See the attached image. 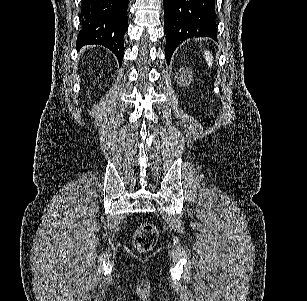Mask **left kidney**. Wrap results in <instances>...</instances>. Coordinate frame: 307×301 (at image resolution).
I'll use <instances>...</instances> for the list:
<instances>
[{
	"label": "left kidney",
	"mask_w": 307,
	"mask_h": 301,
	"mask_svg": "<svg viewBox=\"0 0 307 301\" xmlns=\"http://www.w3.org/2000/svg\"><path fill=\"white\" fill-rule=\"evenodd\" d=\"M180 74L182 78L184 76V80H189V78H191V70H182V72L180 70Z\"/></svg>",
	"instance_id": "5707ae66"
}]
</instances>
